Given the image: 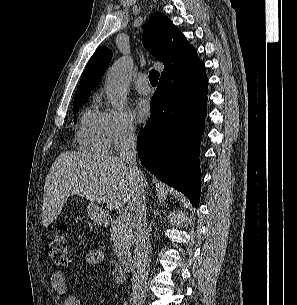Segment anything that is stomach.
<instances>
[{"mask_svg":"<svg viewBox=\"0 0 297 305\" xmlns=\"http://www.w3.org/2000/svg\"><path fill=\"white\" fill-rule=\"evenodd\" d=\"M88 214L90 218L97 224H101L105 220V214L103 210L93 202H89L87 206Z\"/></svg>","mask_w":297,"mask_h":305,"instance_id":"stomach-1","label":"stomach"}]
</instances>
